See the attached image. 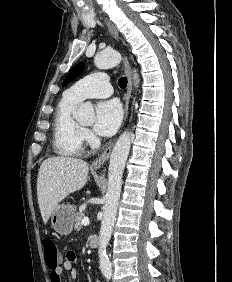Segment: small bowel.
<instances>
[{
    "label": "small bowel",
    "instance_id": "small-bowel-1",
    "mask_svg": "<svg viewBox=\"0 0 232 282\" xmlns=\"http://www.w3.org/2000/svg\"><path fill=\"white\" fill-rule=\"evenodd\" d=\"M76 262V254L73 251H68L65 261L60 264L54 271L50 272V282H63L62 275L64 272L69 273L71 280H75L78 277V271L74 267Z\"/></svg>",
    "mask_w": 232,
    "mask_h": 282
}]
</instances>
